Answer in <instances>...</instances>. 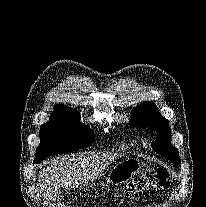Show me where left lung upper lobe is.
Returning a JSON list of instances; mask_svg holds the SVG:
<instances>
[{
    "label": "left lung upper lobe",
    "mask_w": 206,
    "mask_h": 207,
    "mask_svg": "<svg viewBox=\"0 0 206 207\" xmlns=\"http://www.w3.org/2000/svg\"><path fill=\"white\" fill-rule=\"evenodd\" d=\"M129 123L133 126L148 127L156 131L158 137L153 142L152 148L174 164L180 163L178 150L170 143L171 131L168 120L159 114L153 103L144 102L134 108Z\"/></svg>",
    "instance_id": "obj_1"
}]
</instances>
